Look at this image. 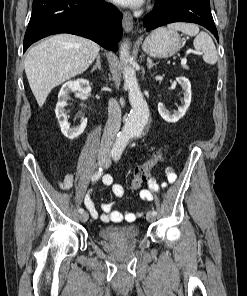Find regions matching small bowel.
I'll use <instances>...</instances> for the list:
<instances>
[{"label": "small bowel", "instance_id": "small-bowel-1", "mask_svg": "<svg viewBox=\"0 0 247 296\" xmlns=\"http://www.w3.org/2000/svg\"><path fill=\"white\" fill-rule=\"evenodd\" d=\"M175 175L171 169H168V180L170 182L174 181ZM102 183L106 186L112 187V192L117 198H121L124 195V188L122 185L113 183V178L111 175H104L102 177ZM59 187L63 190H69L73 185V175L66 174L63 180L59 181ZM162 186H166V183H163ZM158 190L155 182H149V189H143L139 192V198L143 201H152L153 193ZM84 204L92 216V218L97 219L100 218L104 223H120L123 221L132 222L134 221L139 214L133 212L122 213L115 209L114 203H103L101 205L102 213L100 214L92 200L91 192H88L84 196Z\"/></svg>", "mask_w": 247, "mask_h": 296}]
</instances>
